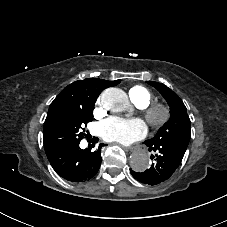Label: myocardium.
I'll list each match as a JSON object with an SVG mask.
<instances>
[{
    "instance_id": "f54148a6",
    "label": "myocardium",
    "mask_w": 227,
    "mask_h": 227,
    "mask_svg": "<svg viewBox=\"0 0 227 227\" xmlns=\"http://www.w3.org/2000/svg\"><path fill=\"white\" fill-rule=\"evenodd\" d=\"M144 116L154 128H161L168 124L172 118L171 107L163 102H150L143 108Z\"/></svg>"
}]
</instances>
